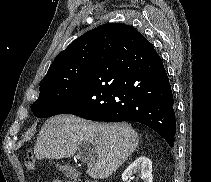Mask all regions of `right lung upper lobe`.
Masks as SVG:
<instances>
[{"label": "right lung upper lobe", "instance_id": "obj_1", "mask_svg": "<svg viewBox=\"0 0 211 182\" xmlns=\"http://www.w3.org/2000/svg\"><path fill=\"white\" fill-rule=\"evenodd\" d=\"M106 25L124 26L131 41L137 45L146 40L141 33L128 25L119 23L101 25L78 37L65 50L59 53L44 78L53 76L61 70H67L74 66H84L92 62L99 33Z\"/></svg>", "mask_w": 211, "mask_h": 182}]
</instances>
